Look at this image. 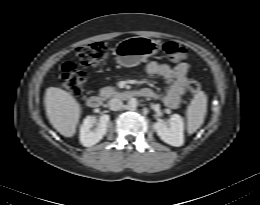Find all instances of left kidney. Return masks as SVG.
<instances>
[{
  "mask_svg": "<svg viewBox=\"0 0 260 205\" xmlns=\"http://www.w3.org/2000/svg\"><path fill=\"white\" fill-rule=\"evenodd\" d=\"M153 128L165 143L175 147H180L184 144V122L180 115H171L168 124L156 122Z\"/></svg>",
  "mask_w": 260,
  "mask_h": 205,
  "instance_id": "1",
  "label": "left kidney"
}]
</instances>
